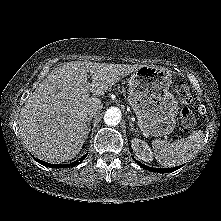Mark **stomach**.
I'll return each mask as SVG.
<instances>
[{"mask_svg": "<svg viewBox=\"0 0 221 221\" xmlns=\"http://www.w3.org/2000/svg\"><path fill=\"white\" fill-rule=\"evenodd\" d=\"M172 74L164 67L141 65L128 79V103L135 112L139 128L147 135L170 134L176 124L177 102L169 91Z\"/></svg>", "mask_w": 221, "mask_h": 221, "instance_id": "stomach-1", "label": "stomach"}]
</instances>
